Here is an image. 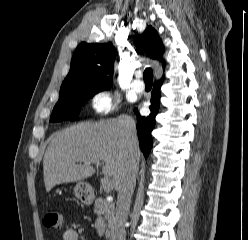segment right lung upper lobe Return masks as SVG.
Instances as JSON below:
<instances>
[{
    "label": "right lung upper lobe",
    "instance_id": "obj_1",
    "mask_svg": "<svg viewBox=\"0 0 248 240\" xmlns=\"http://www.w3.org/2000/svg\"><path fill=\"white\" fill-rule=\"evenodd\" d=\"M139 48H142L152 59L165 62L162 55L165 51L157 31L149 26L137 37ZM114 48L112 43L82 42L76 48L71 60L68 75L61 85L60 92L69 88H95L108 90L112 83Z\"/></svg>",
    "mask_w": 248,
    "mask_h": 240
}]
</instances>
